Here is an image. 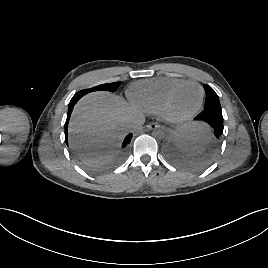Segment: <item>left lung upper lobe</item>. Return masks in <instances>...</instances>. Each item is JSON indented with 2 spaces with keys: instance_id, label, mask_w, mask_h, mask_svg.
Returning a JSON list of instances; mask_svg holds the SVG:
<instances>
[{
  "instance_id": "obj_1",
  "label": "left lung upper lobe",
  "mask_w": 268,
  "mask_h": 268,
  "mask_svg": "<svg viewBox=\"0 0 268 268\" xmlns=\"http://www.w3.org/2000/svg\"><path fill=\"white\" fill-rule=\"evenodd\" d=\"M204 89L206 93L204 109H221L220 101L216 92L209 85L206 84L204 85Z\"/></svg>"
}]
</instances>
